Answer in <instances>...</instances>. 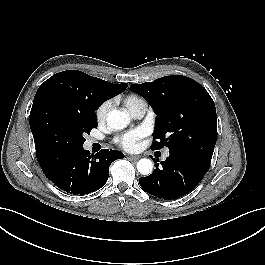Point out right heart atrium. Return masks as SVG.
<instances>
[{
    "mask_svg": "<svg viewBox=\"0 0 265 265\" xmlns=\"http://www.w3.org/2000/svg\"><path fill=\"white\" fill-rule=\"evenodd\" d=\"M112 107L110 100L101 103L95 110V116L98 122H104L108 116V113Z\"/></svg>",
    "mask_w": 265,
    "mask_h": 265,
    "instance_id": "d8ad5b80",
    "label": "right heart atrium"
}]
</instances>
